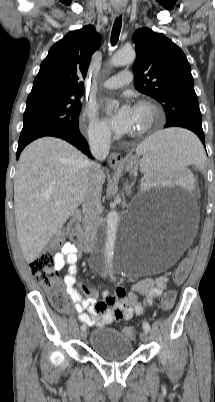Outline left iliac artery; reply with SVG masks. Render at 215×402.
<instances>
[{
    "mask_svg": "<svg viewBox=\"0 0 215 402\" xmlns=\"http://www.w3.org/2000/svg\"><path fill=\"white\" fill-rule=\"evenodd\" d=\"M143 329L145 330V331H147V332H149L150 331V325H149V323L148 322H146V321H143Z\"/></svg>",
    "mask_w": 215,
    "mask_h": 402,
    "instance_id": "44dca946",
    "label": "left iliac artery"
}]
</instances>
